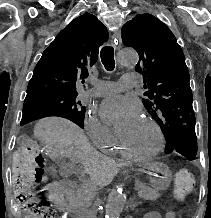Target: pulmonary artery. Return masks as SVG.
Instances as JSON below:
<instances>
[{
	"label": "pulmonary artery",
	"instance_id": "pulmonary-artery-1",
	"mask_svg": "<svg viewBox=\"0 0 211 218\" xmlns=\"http://www.w3.org/2000/svg\"><path fill=\"white\" fill-rule=\"evenodd\" d=\"M140 78L141 76L136 73L126 74L122 76V80H119V86L113 81L92 79L94 88L90 91V93L94 96H107L116 92L119 87H121V91H132V87H136V85H138V79Z\"/></svg>",
	"mask_w": 211,
	"mask_h": 218
}]
</instances>
